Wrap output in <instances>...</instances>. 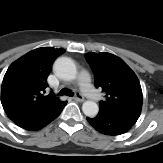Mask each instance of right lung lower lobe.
I'll return each mask as SVG.
<instances>
[{"mask_svg":"<svg viewBox=\"0 0 163 163\" xmlns=\"http://www.w3.org/2000/svg\"><path fill=\"white\" fill-rule=\"evenodd\" d=\"M63 107L64 105H61L60 107L46 112L21 114L15 117H11V119L22 128L29 130H38L57 118L61 113Z\"/></svg>","mask_w":163,"mask_h":163,"instance_id":"98d812e1","label":"right lung lower lobe"}]
</instances>
